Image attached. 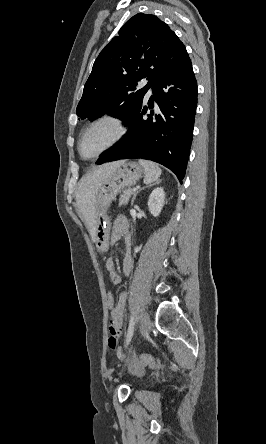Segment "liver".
Returning a JSON list of instances; mask_svg holds the SVG:
<instances>
[{"mask_svg": "<svg viewBox=\"0 0 266 444\" xmlns=\"http://www.w3.org/2000/svg\"><path fill=\"white\" fill-rule=\"evenodd\" d=\"M123 161L101 165L86 173L78 183L76 203L93 241L95 232V197L102 184L111 176Z\"/></svg>", "mask_w": 266, "mask_h": 444, "instance_id": "6515ba94", "label": "liver"}]
</instances>
